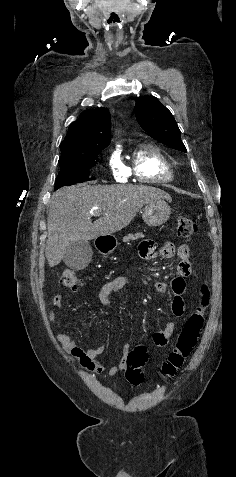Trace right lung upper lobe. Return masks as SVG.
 Here are the masks:
<instances>
[{"mask_svg":"<svg viewBox=\"0 0 236 477\" xmlns=\"http://www.w3.org/2000/svg\"><path fill=\"white\" fill-rule=\"evenodd\" d=\"M110 125V114L107 109L101 107L84 111L77 121L71 123L60 145L59 162L107 147L111 141Z\"/></svg>","mask_w":236,"mask_h":477,"instance_id":"1","label":"right lung upper lobe"}]
</instances>
